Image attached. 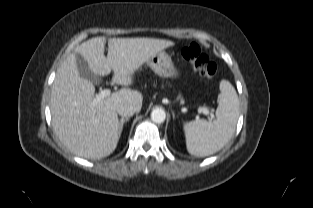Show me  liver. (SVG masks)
Instances as JSON below:
<instances>
[{"label":"liver","mask_w":313,"mask_h":208,"mask_svg":"<svg viewBox=\"0 0 313 208\" xmlns=\"http://www.w3.org/2000/svg\"><path fill=\"white\" fill-rule=\"evenodd\" d=\"M105 37H95L77 46L56 73L51 91L52 126L59 140L73 154L87 159L109 156L120 138L116 107L129 103L141 110L143 95L127 88L134 73L152 56L174 45L155 38H110L104 55ZM76 54L100 76L113 71V81L123 85L119 91L94 104L95 87L79 73Z\"/></svg>","instance_id":"obj_1"}]
</instances>
